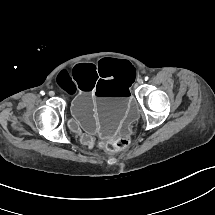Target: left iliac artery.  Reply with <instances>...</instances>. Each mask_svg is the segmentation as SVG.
<instances>
[{
    "label": "left iliac artery",
    "mask_w": 215,
    "mask_h": 215,
    "mask_svg": "<svg viewBox=\"0 0 215 215\" xmlns=\"http://www.w3.org/2000/svg\"><path fill=\"white\" fill-rule=\"evenodd\" d=\"M148 79H149V77H148V76H146V77H145V81H147Z\"/></svg>",
    "instance_id": "44dca946"
}]
</instances>
